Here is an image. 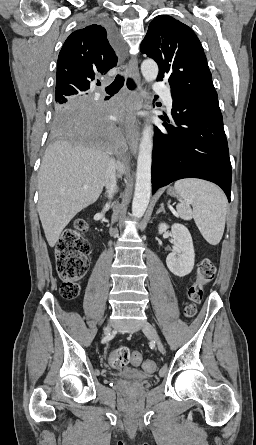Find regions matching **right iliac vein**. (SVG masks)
Masks as SVG:
<instances>
[{"label":"right iliac vein","mask_w":256,"mask_h":445,"mask_svg":"<svg viewBox=\"0 0 256 445\" xmlns=\"http://www.w3.org/2000/svg\"><path fill=\"white\" fill-rule=\"evenodd\" d=\"M110 331H111V325H110V323H108L105 327H104V329H103V337L104 336H106L107 334H109L110 333Z\"/></svg>","instance_id":"obj_1"}]
</instances>
